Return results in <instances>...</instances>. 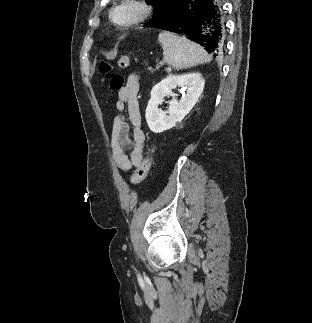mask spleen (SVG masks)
Returning <instances> with one entry per match:
<instances>
[{
    "instance_id": "spleen-1",
    "label": "spleen",
    "mask_w": 312,
    "mask_h": 323,
    "mask_svg": "<svg viewBox=\"0 0 312 323\" xmlns=\"http://www.w3.org/2000/svg\"><path fill=\"white\" fill-rule=\"evenodd\" d=\"M158 42L163 48V62L171 64L177 70L192 68V66L203 64V62L206 64V62H211L212 60L202 46L195 44V42H190L185 36L181 38L174 32L162 30L158 36Z\"/></svg>"
}]
</instances>
